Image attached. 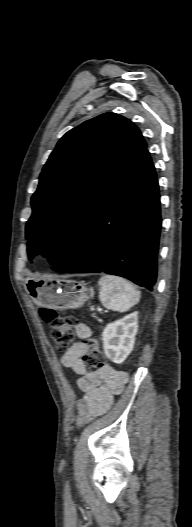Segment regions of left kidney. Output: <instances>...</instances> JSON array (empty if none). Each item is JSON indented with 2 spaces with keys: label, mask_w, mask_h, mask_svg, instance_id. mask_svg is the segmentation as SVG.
Instances as JSON below:
<instances>
[{
  "label": "left kidney",
  "mask_w": 192,
  "mask_h": 527,
  "mask_svg": "<svg viewBox=\"0 0 192 527\" xmlns=\"http://www.w3.org/2000/svg\"><path fill=\"white\" fill-rule=\"evenodd\" d=\"M138 313L133 312L122 319L109 323L102 333L105 355L120 364L132 352L138 331Z\"/></svg>",
  "instance_id": "5707ae66"
}]
</instances>
